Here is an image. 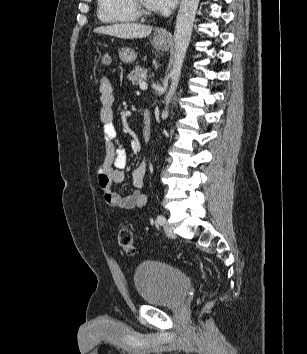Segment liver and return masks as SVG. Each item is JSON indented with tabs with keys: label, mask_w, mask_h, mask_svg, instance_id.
<instances>
[{
	"label": "liver",
	"mask_w": 307,
	"mask_h": 354,
	"mask_svg": "<svg viewBox=\"0 0 307 354\" xmlns=\"http://www.w3.org/2000/svg\"><path fill=\"white\" fill-rule=\"evenodd\" d=\"M152 27L137 23H118L109 26H100L94 29L95 33L106 34L122 39H137L147 37Z\"/></svg>",
	"instance_id": "obj_1"
}]
</instances>
